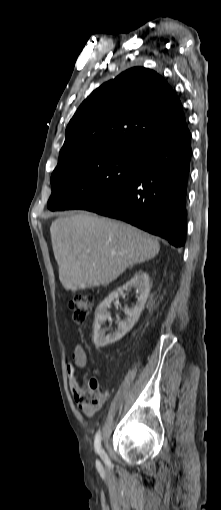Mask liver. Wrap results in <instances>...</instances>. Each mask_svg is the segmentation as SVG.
Returning a JSON list of instances; mask_svg holds the SVG:
<instances>
[{
    "mask_svg": "<svg viewBox=\"0 0 221 510\" xmlns=\"http://www.w3.org/2000/svg\"><path fill=\"white\" fill-rule=\"evenodd\" d=\"M50 233L59 280L72 292L107 285L160 249L147 233L88 213L57 218Z\"/></svg>",
    "mask_w": 221,
    "mask_h": 510,
    "instance_id": "liver-1",
    "label": "liver"
}]
</instances>
